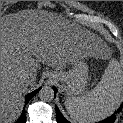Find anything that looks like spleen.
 <instances>
[{"label": "spleen", "instance_id": "1", "mask_svg": "<svg viewBox=\"0 0 123 123\" xmlns=\"http://www.w3.org/2000/svg\"><path fill=\"white\" fill-rule=\"evenodd\" d=\"M122 92V71L119 62L112 59L96 87L83 96L66 99L65 107L74 123H95L114 113Z\"/></svg>", "mask_w": 123, "mask_h": 123}]
</instances>
